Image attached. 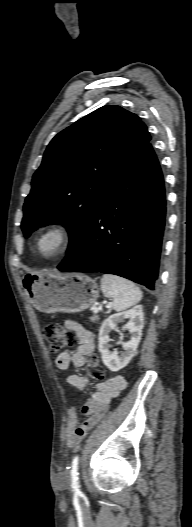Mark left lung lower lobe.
<instances>
[{
  "mask_svg": "<svg viewBox=\"0 0 192 527\" xmlns=\"http://www.w3.org/2000/svg\"><path fill=\"white\" fill-rule=\"evenodd\" d=\"M165 216L163 175L148 143L111 184L58 269L115 274L153 290Z\"/></svg>",
  "mask_w": 192,
  "mask_h": 527,
  "instance_id": "left-lung-lower-lobe-1",
  "label": "left lung lower lobe"
}]
</instances>
